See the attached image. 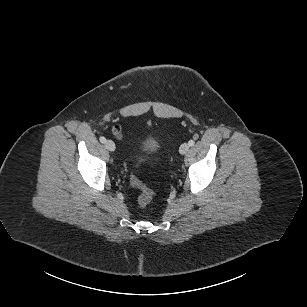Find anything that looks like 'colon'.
<instances>
[{
    "label": "colon",
    "instance_id": "obj_1",
    "mask_svg": "<svg viewBox=\"0 0 307 307\" xmlns=\"http://www.w3.org/2000/svg\"><path fill=\"white\" fill-rule=\"evenodd\" d=\"M136 164L135 166H137ZM130 183L132 186L141 190L137 198V203L140 207H146L153 199L154 192L138 179L134 171L130 174Z\"/></svg>",
    "mask_w": 307,
    "mask_h": 307
}]
</instances>
